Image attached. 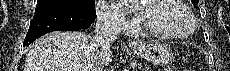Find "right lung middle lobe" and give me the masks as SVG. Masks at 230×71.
<instances>
[{
	"label": "right lung middle lobe",
	"mask_w": 230,
	"mask_h": 71,
	"mask_svg": "<svg viewBox=\"0 0 230 71\" xmlns=\"http://www.w3.org/2000/svg\"><path fill=\"white\" fill-rule=\"evenodd\" d=\"M67 7L95 14L94 0H39L36 10L41 8Z\"/></svg>",
	"instance_id": "dd1d6c3e"
}]
</instances>
